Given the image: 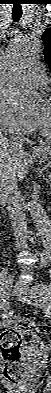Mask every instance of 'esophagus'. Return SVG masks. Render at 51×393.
Segmentation results:
<instances>
[{
    "instance_id": "1",
    "label": "esophagus",
    "mask_w": 51,
    "mask_h": 393,
    "mask_svg": "<svg viewBox=\"0 0 51 393\" xmlns=\"http://www.w3.org/2000/svg\"><path fill=\"white\" fill-rule=\"evenodd\" d=\"M36 150H37V148L34 147L33 151H36Z\"/></svg>"
}]
</instances>
